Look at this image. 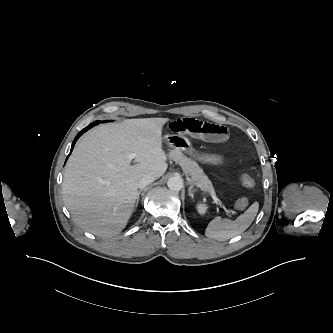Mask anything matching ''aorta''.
<instances>
[{
    "instance_id": "obj_1",
    "label": "aorta",
    "mask_w": 333,
    "mask_h": 333,
    "mask_svg": "<svg viewBox=\"0 0 333 333\" xmlns=\"http://www.w3.org/2000/svg\"><path fill=\"white\" fill-rule=\"evenodd\" d=\"M168 188L172 191H180L183 187V180L180 177H171L167 182Z\"/></svg>"
}]
</instances>
